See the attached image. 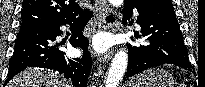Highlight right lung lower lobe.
Instances as JSON below:
<instances>
[{"label": "right lung lower lobe", "mask_w": 205, "mask_h": 87, "mask_svg": "<svg viewBox=\"0 0 205 87\" xmlns=\"http://www.w3.org/2000/svg\"><path fill=\"white\" fill-rule=\"evenodd\" d=\"M80 13V18H75V15L61 23L20 31L13 57L9 61V72L5 84L14 75L28 67H40L59 72L69 79L74 87H86L92 62L87 48L89 42L82 31L93 14L88 10ZM65 24H70L73 28V34L69 40L71 45L84 50L81 58L67 57L58 48L60 44H55L56 37L62 34L60 26Z\"/></svg>", "instance_id": "98d812e1"}]
</instances>
